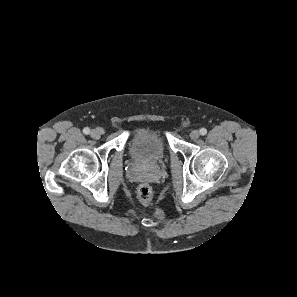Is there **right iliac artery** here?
<instances>
[{"instance_id": "82829eb1", "label": "right iliac artery", "mask_w": 297, "mask_h": 297, "mask_svg": "<svg viewBox=\"0 0 297 297\" xmlns=\"http://www.w3.org/2000/svg\"><path fill=\"white\" fill-rule=\"evenodd\" d=\"M89 132H90V129L88 127H86V128L83 129V133L84 134L87 135V134H89Z\"/></svg>"}]
</instances>
